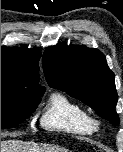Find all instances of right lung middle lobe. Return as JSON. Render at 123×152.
<instances>
[{
  "mask_svg": "<svg viewBox=\"0 0 123 152\" xmlns=\"http://www.w3.org/2000/svg\"><path fill=\"white\" fill-rule=\"evenodd\" d=\"M44 91L21 88L18 83L1 79V127L24 122L35 111Z\"/></svg>",
  "mask_w": 123,
  "mask_h": 152,
  "instance_id": "right-lung-middle-lobe-1",
  "label": "right lung middle lobe"
}]
</instances>
